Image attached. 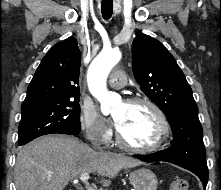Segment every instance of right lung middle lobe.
Segmentation results:
<instances>
[{
    "mask_svg": "<svg viewBox=\"0 0 221 190\" xmlns=\"http://www.w3.org/2000/svg\"><path fill=\"white\" fill-rule=\"evenodd\" d=\"M80 98L37 102L21 106L18 144L47 134L78 135L80 125Z\"/></svg>",
    "mask_w": 221,
    "mask_h": 190,
    "instance_id": "dd1d6c3e",
    "label": "right lung middle lobe"
}]
</instances>
